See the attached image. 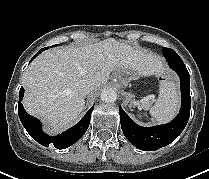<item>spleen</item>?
I'll list each match as a JSON object with an SVG mask.
<instances>
[{"instance_id": "3e777b00", "label": "spleen", "mask_w": 209, "mask_h": 179, "mask_svg": "<svg viewBox=\"0 0 209 179\" xmlns=\"http://www.w3.org/2000/svg\"><path fill=\"white\" fill-rule=\"evenodd\" d=\"M179 106L178 85L173 81L165 82L160 86L158 98L150 108V114L156 122L167 123L175 117Z\"/></svg>"}]
</instances>
